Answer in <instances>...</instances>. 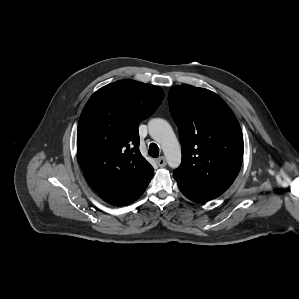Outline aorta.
Returning a JSON list of instances; mask_svg holds the SVG:
<instances>
[{
    "label": "aorta",
    "mask_w": 299,
    "mask_h": 299,
    "mask_svg": "<svg viewBox=\"0 0 299 299\" xmlns=\"http://www.w3.org/2000/svg\"><path fill=\"white\" fill-rule=\"evenodd\" d=\"M148 130L162 148L168 165L177 168L181 163V147L171 125L164 119L154 118L150 120Z\"/></svg>",
    "instance_id": "aorta-1"
}]
</instances>
